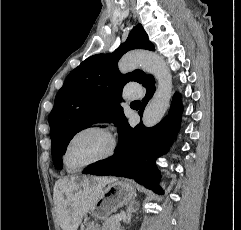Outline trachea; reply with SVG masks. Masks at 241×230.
Listing matches in <instances>:
<instances>
[{
	"label": "trachea",
	"mask_w": 241,
	"mask_h": 230,
	"mask_svg": "<svg viewBox=\"0 0 241 230\" xmlns=\"http://www.w3.org/2000/svg\"><path fill=\"white\" fill-rule=\"evenodd\" d=\"M133 103H135V104H140V101H134Z\"/></svg>",
	"instance_id": "trachea-1"
}]
</instances>
